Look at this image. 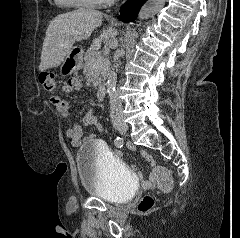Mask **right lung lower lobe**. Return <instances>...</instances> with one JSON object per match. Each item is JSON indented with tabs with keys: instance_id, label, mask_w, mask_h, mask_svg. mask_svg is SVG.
I'll list each match as a JSON object with an SVG mask.
<instances>
[{
	"instance_id": "right-lung-lower-lobe-1",
	"label": "right lung lower lobe",
	"mask_w": 240,
	"mask_h": 238,
	"mask_svg": "<svg viewBox=\"0 0 240 238\" xmlns=\"http://www.w3.org/2000/svg\"><path fill=\"white\" fill-rule=\"evenodd\" d=\"M145 0H128L120 10V14L127 21L132 22L136 19L140 7Z\"/></svg>"
}]
</instances>
